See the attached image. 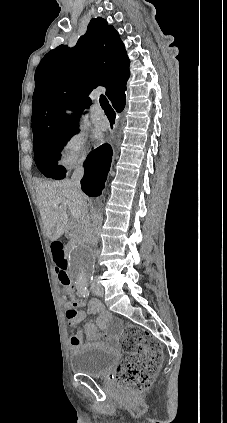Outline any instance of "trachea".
Returning a JSON list of instances; mask_svg holds the SVG:
<instances>
[{
    "instance_id": "1",
    "label": "trachea",
    "mask_w": 227,
    "mask_h": 423,
    "mask_svg": "<svg viewBox=\"0 0 227 423\" xmlns=\"http://www.w3.org/2000/svg\"><path fill=\"white\" fill-rule=\"evenodd\" d=\"M99 102H100L101 108L104 110L107 117L115 116V112H114L113 108L111 107V105L109 104L105 95L100 96Z\"/></svg>"
}]
</instances>
